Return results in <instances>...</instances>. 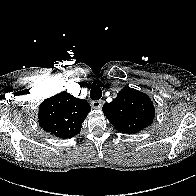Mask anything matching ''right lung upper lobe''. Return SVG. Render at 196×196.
<instances>
[{
  "label": "right lung upper lobe",
  "instance_id": "1",
  "mask_svg": "<svg viewBox=\"0 0 196 196\" xmlns=\"http://www.w3.org/2000/svg\"><path fill=\"white\" fill-rule=\"evenodd\" d=\"M90 110L86 100L61 92L41 103L39 125L59 138H71L80 132L81 124Z\"/></svg>",
  "mask_w": 196,
  "mask_h": 196
}]
</instances>
